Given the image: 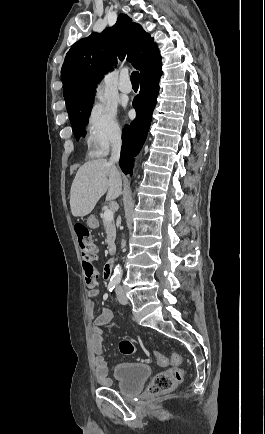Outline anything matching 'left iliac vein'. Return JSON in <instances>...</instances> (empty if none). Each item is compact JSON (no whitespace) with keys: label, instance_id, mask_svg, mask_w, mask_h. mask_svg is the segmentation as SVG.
Here are the masks:
<instances>
[{"label":"left iliac vein","instance_id":"left-iliac-vein-1","mask_svg":"<svg viewBox=\"0 0 265 434\" xmlns=\"http://www.w3.org/2000/svg\"><path fill=\"white\" fill-rule=\"evenodd\" d=\"M116 294H117V299L121 304L126 305L128 303V299L124 291H122L120 288L116 289Z\"/></svg>","mask_w":265,"mask_h":434}]
</instances>
